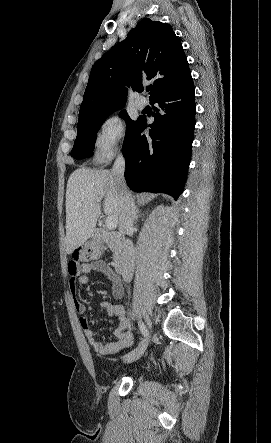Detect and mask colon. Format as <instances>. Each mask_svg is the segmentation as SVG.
Instances as JSON below:
<instances>
[{"mask_svg":"<svg viewBox=\"0 0 271 443\" xmlns=\"http://www.w3.org/2000/svg\"><path fill=\"white\" fill-rule=\"evenodd\" d=\"M105 249L99 241H88L72 252L73 264L88 263L104 255Z\"/></svg>","mask_w":271,"mask_h":443,"instance_id":"5ec220e1","label":"colon"}]
</instances>
